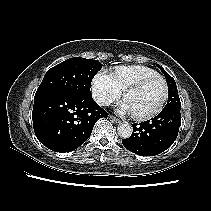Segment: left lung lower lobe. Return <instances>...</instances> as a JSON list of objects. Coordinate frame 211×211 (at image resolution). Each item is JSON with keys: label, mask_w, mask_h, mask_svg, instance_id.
Listing matches in <instances>:
<instances>
[{"label": "left lung lower lobe", "mask_w": 211, "mask_h": 211, "mask_svg": "<svg viewBox=\"0 0 211 211\" xmlns=\"http://www.w3.org/2000/svg\"><path fill=\"white\" fill-rule=\"evenodd\" d=\"M181 124L179 108L163 109L151 120L134 123L133 133L122 143L141 156H155L168 149L177 138Z\"/></svg>", "instance_id": "1"}]
</instances>
